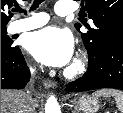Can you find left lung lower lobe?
I'll return each instance as SVG.
<instances>
[{"mask_svg": "<svg viewBox=\"0 0 123 113\" xmlns=\"http://www.w3.org/2000/svg\"><path fill=\"white\" fill-rule=\"evenodd\" d=\"M88 52L86 73L66 85L67 92H83L101 88L123 90V39Z\"/></svg>", "mask_w": 123, "mask_h": 113, "instance_id": "left-lung-lower-lobe-1", "label": "left lung lower lobe"}]
</instances>
